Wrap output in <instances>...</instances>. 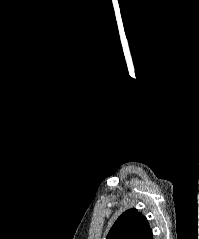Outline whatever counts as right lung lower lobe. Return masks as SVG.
Instances as JSON below:
<instances>
[{
	"instance_id": "obj_1",
	"label": "right lung lower lobe",
	"mask_w": 199,
	"mask_h": 239,
	"mask_svg": "<svg viewBox=\"0 0 199 239\" xmlns=\"http://www.w3.org/2000/svg\"><path fill=\"white\" fill-rule=\"evenodd\" d=\"M144 239H153L152 232H150Z\"/></svg>"
}]
</instances>
